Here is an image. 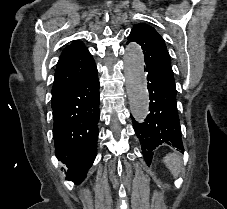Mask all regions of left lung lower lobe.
Here are the masks:
<instances>
[{
  "instance_id": "left-lung-lower-lobe-1",
  "label": "left lung lower lobe",
  "mask_w": 227,
  "mask_h": 209,
  "mask_svg": "<svg viewBox=\"0 0 227 209\" xmlns=\"http://www.w3.org/2000/svg\"><path fill=\"white\" fill-rule=\"evenodd\" d=\"M146 71L150 114L143 123H137L132 116L131 118L145 161L150 165L157 147L170 145L181 151L184 148L177 114L176 87L156 71Z\"/></svg>"
}]
</instances>
